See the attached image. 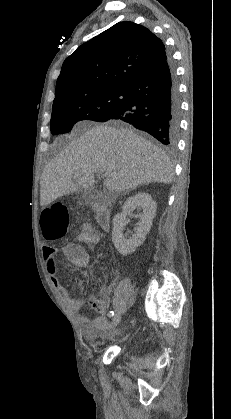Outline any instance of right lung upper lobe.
Masks as SVG:
<instances>
[{
    "label": "right lung upper lobe",
    "instance_id": "obj_1",
    "mask_svg": "<svg viewBox=\"0 0 231 419\" xmlns=\"http://www.w3.org/2000/svg\"><path fill=\"white\" fill-rule=\"evenodd\" d=\"M165 60V46L150 30L119 22L65 59L53 103L100 89L126 90Z\"/></svg>",
    "mask_w": 231,
    "mask_h": 419
}]
</instances>
